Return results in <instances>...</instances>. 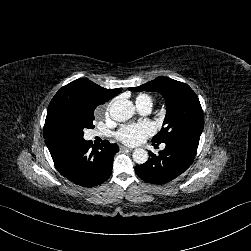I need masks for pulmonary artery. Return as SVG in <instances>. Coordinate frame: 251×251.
Masks as SVG:
<instances>
[{
	"mask_svg": "<svg viewBox=\"0 0 251 251\" xmlns=\"http://www.w3.org/2000/svg\"><path fill=\"white\" fill-rule=\"evenodd\" d=\"M137 109L142 114H148L152 110V103L149 101H146L142 104H137Z\"/></svg>",
	"mask_w": 251,
	"mask_h": 251,
	"instance_id": "e3ab8cb5",
	"label": "pulmonary artery"
}]
</instances>
